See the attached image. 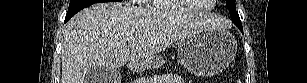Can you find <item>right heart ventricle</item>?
<instances>
[{
  "mask_svg": "<svg viewBox=\"0 0 307 83\" xmlns=\"http://www.w3.org/2000/svg\"><path fill=\"white\" fill-rule=\"evenodd\" d=\"M211 9V5H207ZM149 8L159 12H174L182 10L177 6L174 0H154L150 1ZM183 11V10H182Z\"/></svg>",
  "mask_w": 307,
  "mask_h": 83,
  "instance_id": "e07e8e85",
  "label": "right heart ventricle"
}]
</instances>
